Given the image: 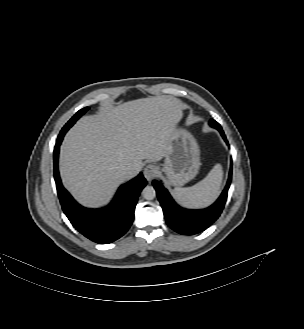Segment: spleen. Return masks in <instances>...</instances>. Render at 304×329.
<instances>
[{
    "mask_svg": "<svg viewBox=\"0 0 304 329\" xmlns=\"http://www.w3.org/2000/svg\"><path fill=\"white\" fill-rule=\"evenodd\" d=\"M222 178V166L216 164L203 180L191 187H176L172 190V194L174 198L185 207H205L217 198Z\"/></svg>",
    "mask_w": 304,
    "mask_h": 329,
    "instance_id": "1",
    "label": "spleen"
}]
</instances>
